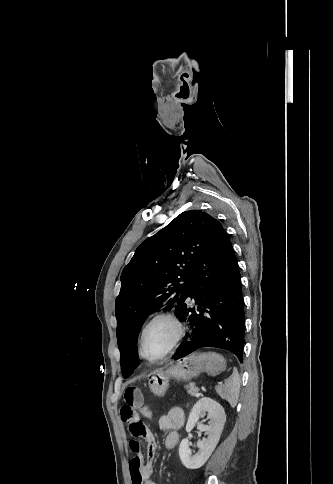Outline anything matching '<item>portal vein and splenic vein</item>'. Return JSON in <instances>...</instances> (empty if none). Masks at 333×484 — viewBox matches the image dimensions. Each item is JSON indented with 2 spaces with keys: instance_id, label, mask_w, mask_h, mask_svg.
Returning a JSON list of instances; mask_svg holds the SVG:
<instances>
[{
  "instance_id": "1",
  "label": "portal vein and splenic vein",
  "mask_w": 333,
  "mask_h": 484,
  "mask_svg": "<svg viewBox=\"0 0 333 484\" xmlns=\"http://www.w3.org/2000/svg\"><path fill=\"white\" fill-rule=\"evenodd\" d=\"M194 395H195L196 397H199V396L201 395V393H199V389H198V388H196V389H195V393H194Z\"/></svg>"
}]
</instances>
